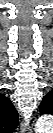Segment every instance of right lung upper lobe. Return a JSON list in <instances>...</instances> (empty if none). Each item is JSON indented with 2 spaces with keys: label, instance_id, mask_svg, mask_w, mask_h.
Segmentation results:
<instances>
[{
  "label": "right lung upper lobe",
  "instance_id": "1",
  "mask_svg": "<svg viewBox=\"0 0 53 133\" xmlns=\"http://www.w3.org/2000/svg\"><path fill=\"white\" fill-rule=\"evenodd\" d=\"M18 125V114L12 102L0 95V128L12 133Z\"/></svg>",
  "mask_w": 53,
  "mask_h": 133
}]
</instances>
